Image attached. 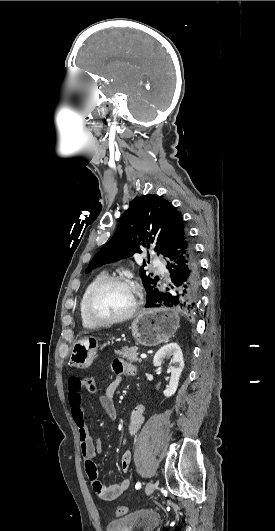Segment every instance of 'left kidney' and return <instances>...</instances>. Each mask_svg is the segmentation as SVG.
<instances>
[{
	"instance_id": "5707ae66",
	"label": "left kidney",
	"mask_w": 275,
	"mask_h": 531,
	"mask_svg": "<svg viewBox=\"0 0 275 531\" xmlns=\"http://www.w3.org/2000/svg\"><path fill=\"white\" fill-rule=\"evenodd\" d=\"M170 355H173L172 361L175 367H171V369H169V373H171V379L169 387H167L166 391H163L165 397H172V395H174V393L177 391L180 375L184 369L182 351L177 343H169V345H164V347H161L153 359L154 367H160V365H162L163 359H165V357H170Z\"/></svg>"
}]
</instances>
